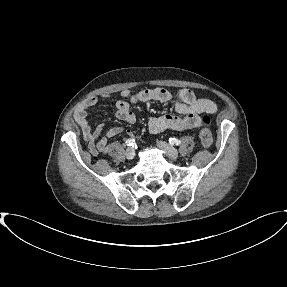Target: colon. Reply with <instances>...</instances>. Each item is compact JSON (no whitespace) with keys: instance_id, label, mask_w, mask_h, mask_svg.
<instances>
[{"instance_id":"colon-1","label":"colon","mask_w":287,"mask_h":287,"mask_svg":"<svg viewBox=\"0 0 287 287\" xmlns=\"http://www.w3.org/2000/svg\"><path fill=\"white\" fill-rule=\"evenodd\" d=\"M210 122L211 120L209 116L204 115L202 117L203 128L200 131L199 138H200V142L202 146L206 148L210 147L213 143V136H212L210 129L208 128V125L210 124Z\"/></svg>"}]
</instances>
